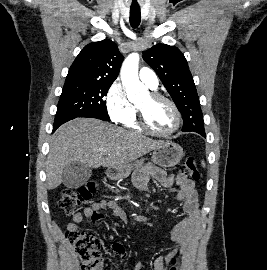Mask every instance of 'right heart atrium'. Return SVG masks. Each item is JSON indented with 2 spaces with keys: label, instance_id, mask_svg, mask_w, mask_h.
<instances>
[{
  "label": "right heart atrium",
  "instance_id": "1",
  "mask_svg": "<svg viewBox=\"0 0 267 270\" xmlns=\"http://www.w3.org/2000/svg\"><path fill=\"white\" fill-rule=\"evenodd\" d=\"M105 103L108 115L115 123L124 124L135 115V107L127 98L124 87L118 81L109 87Z\"/></svg>",
  "mask_w": 267,
  "mask_h": 270
}]
</instances>
